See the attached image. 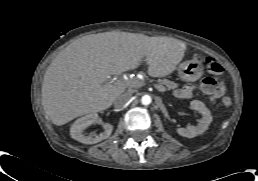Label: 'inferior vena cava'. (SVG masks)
<instances>
[{"mask_svg": "<svg viewBox=\"0 0 258 181\" xmlns=\"http://www.w3.org/2000/svg\"><path fill=\"white\" fill-rule=\"evenodd\" d=\"M131 97H132V94L129 92L120 94L114 102L115 106L117 108H121V107L125 106L130 101Z\"/></svg>", "mask_w": 258, "mask_h": 181, "instance_id": "inferior-vena-cava-1", "label": "inferior vena cava"}]
</instances>
